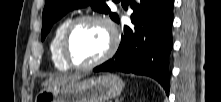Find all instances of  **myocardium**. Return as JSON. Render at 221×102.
I'll list each match as a JSON object with an SVG mask.
<instances>
[{
    "label": "myocardium",
    "mask_w": 221,
    "mask_h": 102,
    "mask_svg": "<svg viewBox=\"0 0 221 102\" xmlns=\"http://www.w3.org/2000/svg\"><path fill=\"white\" fill-rule=\"evenodd\" d=\"M86 21L97 22V23L102 24L108 32L109 44H108V47L105 50V52L99 58L94 60L93 62H90L88 64H76L69 57L68 43H69V39H70L71 33L74 30V28L78 24H80L82 22H86ZM118 44H119L118 32H117L114 24L112 23V21L108 17L101 15V14H97V13L82 14V15H79V16L73 18L69 22V24L67 25V27L63 33L62 40H61L60 51H61V56H62L63 61L70 68H73L76 70H89V69H93V68L101 65L105 61H107L116 51Z\"/></svg>",
    "instance_id": "myocardium-1"
}]
</instances>
